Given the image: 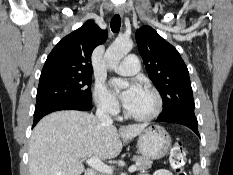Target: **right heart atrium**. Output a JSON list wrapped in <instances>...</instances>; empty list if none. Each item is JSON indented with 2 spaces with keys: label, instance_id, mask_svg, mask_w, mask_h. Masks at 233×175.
Wrapping results in <instances>:
<instances>
[{
  "label": "right heart atrium",
  "instance_id": "d8ad5b80",
  "mask_svg": "<svg viewBox=\"0 0 233 175\" xmlns=\"http://www.w3.org/2000/svg\"><path fill=\"white\" fill-rule=\"evenodd\" d=\"M93 99L96 106L109 115L119 111V101L103 82H96L93 88Z\"/></svg>",
  "mask_w": 233,
  "mask_h": 175
}]
</instances>
